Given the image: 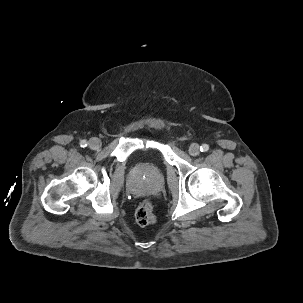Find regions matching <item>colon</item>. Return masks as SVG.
I'll return each instance as SVG.
<instances>
[{"label":"colon","instance_id":"obj_1","mask_svg":"<svg viewBox=\"0 0 303 303\" xmlns=\"http://www.w3.org/2000/svg\"><path fill=\"white\" fill-rule=\"evenodd\" d=\"M135 218L139 225L150 226L156 223V216L153 211V204L150 200H143L137 207Z\"/></svg>","mask_w":303,"mask_h":303}]
</instances>
